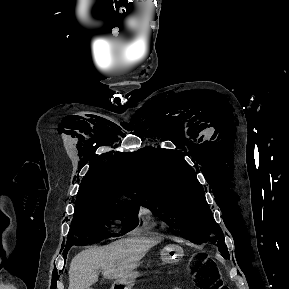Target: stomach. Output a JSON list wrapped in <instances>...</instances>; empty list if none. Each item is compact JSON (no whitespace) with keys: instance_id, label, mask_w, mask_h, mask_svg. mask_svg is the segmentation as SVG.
I'll use <instances>...</instances> for the list:
<instances>
[{"instance_id":"obj_1","label":"stomach","mask_w":289,"mask_h":289,"mask_svg":"<svg viewBox=\"0 0 289 289\" xmlns=\"http://www.w3.org/2000/svg\"><path fill=\"white\" fill-rule=\"evenodd\" d=\"M160 255L164 263H177L183 257L184 252L179 245L170 244L162 249ZM137 276L138 273L132 270L126 276L118 278L114 283L113 289H132Z\"/></svg>"}]
</instances>
